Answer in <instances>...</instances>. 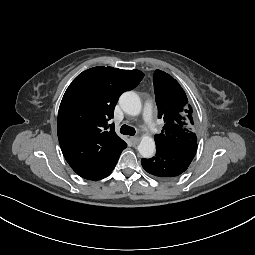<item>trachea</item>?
Listing matches in <instances>:
<instances>
[{
    "mask_svg": "<svg viewBox=\"0 0 255 255\" xmlns=\"http://www.w3.org/2000/svg\"><path fill=\"white\" fill-rule=\"evenodd\" d=\"M120 132L124 135H130V136H133L136 133L135 129L133 127L128 126V125H122L121 129H120Z\"/></svg>",
    "mask_w": 255,
    "mask_h": 255,
    "instance_id": "3493384b",
    "label": "trachea"
}]
</instances>
